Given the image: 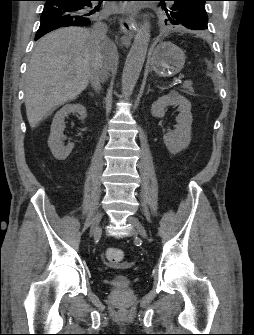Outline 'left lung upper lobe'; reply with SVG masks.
Here are the masks:
<instances>
[{"label":"left lung upper lobe","instance_id":"5c2ea615","mask_svg":"<svg viewBox=\"0 0 254 335\" xmlns=\"http://www.w3.org/2000/svg\"><path fill=\"white\" fill-rule=\"evenodd\" d=\"M166 12V25L183 26L192 30L207 29L205 2L208 0H159Z\"/></svg>","mask_w":254,"mask_h":335}]
</instances>
